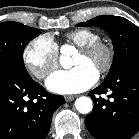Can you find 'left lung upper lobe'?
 I'll list each match as a JSON object with an SVG mask.
<instances>
[{
    "instance_id": "5c2ea615",
    "label": "left lung upper lobe",
    "mask_w": 139,
    "mask_h": 139,
    "mask_svg": "<svg viewBox=\"0 0 139 139\" xmlns=\"http://www.w3.org/2000/svg\"><path fill=\"white\" fill-rule=\"evenodd\" d=\"M78 26L100 27L112 40L115 55L105 81L114 76L128 62L139 58V28L129 20L118 16H98Z\"/></svg>"
}]
</instances>
